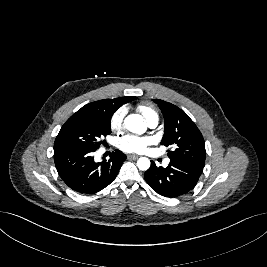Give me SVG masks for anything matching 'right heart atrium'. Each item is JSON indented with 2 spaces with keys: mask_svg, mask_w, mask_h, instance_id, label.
Masks as SVG:
<instances>
[{
  "mask_svg": "<svg viewBox=\"0 0 267 267\" xmlns=\"http://www.w3.org/2000/svg\"><path fill=\"white\" fill-rule=\"evenodd\" d=\"M126 112L125 107H120L113 113L110 119V127L112 130L119 131L122 129Z\"/></svg>",
  "mask_w": 267,
  "mask_h": 267,
  "instance_id": "obj_1",
  "label": "right heart atrium"
}]
</instances>
